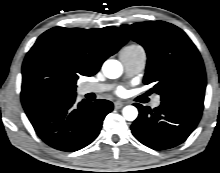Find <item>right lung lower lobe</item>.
Instances as JSON below:
<instances>
[{
    "label": "right lung lower lobe",
    "mask_w": 220,
    "mask_h": 173,
    "mask_svg": "<svg viewBox=\"0 0 220 173\" xmlns=\"http://www.w3.org/2000/svg\"><path fill=\"white\" fill-rule=\"evenodd\" d=\"M25 112L37 135L61 151H77L99 134L105 116L113 110L108 100L76 102V93L42 99Z\"/></svg>",
    "instance_id": "right-lung-lower-lobe-1"
}]
</instances>
